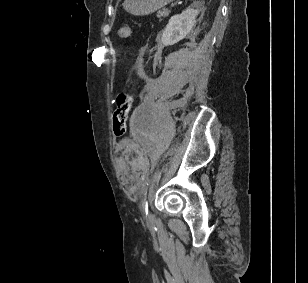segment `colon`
I'll return each mask as SVG.
<instances>
[{
  "mask_svg": "<svg viewBox=\"0 0 308 283\" xmlns=\"http://www.w3.org/2000/svg\"><path fill=\"white\" fill-rule=\"evenodd\" d=\"M131 32L130 26H123L118 29L117 36L119 38H128ZM132 103V96L128 93H121L116 98L115 109L112 115V127L114 134L118 137L125 135L127 131V123Z\"/></svg>",
  "mask_w": 308,
  "mask_h": 283,
  "instance_id": "colon-1",
  "label": "colon"
}]
</instances>
